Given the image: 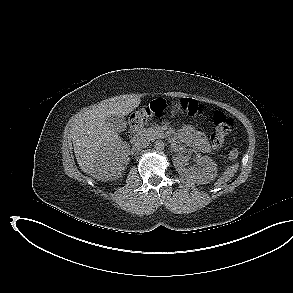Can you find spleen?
<instances>
[{"instance_id":"3e777b00","label":"spleen","mask_w":293,"mask_h":293,"mask_svg":"<svg viewBox=\"0 0 293 293\" xmlns=\"http://www.w3.org/2000/svg\"><path fill=\"white\" fill-rule=\"evenodd\" d=\"M239 165L233 164L226 168V170L222 173L219 179L216 182V186H220L226 182H228L234 174L237 172Z\"/></svg>"}]
</instances>
